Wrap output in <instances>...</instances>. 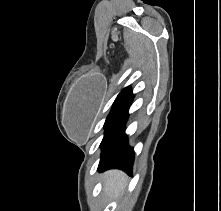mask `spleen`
Segmentation results:
<instances>
[{
    "label": "spleen",
    "instance_id": "1",
    "mask_svg": "<svg viewBox=\"0 0 221 211\" xmlns=\"http://www.w3.org/2000/svg\"><path fill=\"white\" fill-rule=\"evenodd\" d=\"M126 184L127 179L122 172H107L104 176V195L110 199L118 198L121 196Z\"/></svg>",
    "mask_w": 221,
    "mask_h": 211
}]
</instances>
